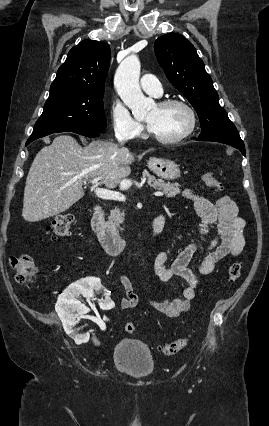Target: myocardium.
I'll list each match as a JSON object with an SVG mask.
<instances>
[{
	"mask_svg": "<svg viewBox=\"0 0 269 426\" xmlns=\"http://www.w3.org/2000/svg\"><path fill=\"white\" fill-rule=\"evenodd\" d=\"M157 105L159 107H167L172 105L182 106L183 108L187 110L189 114L190 123L188 128L183 133L173 138H163V137L157 136L148 127L147 133L150 139L161 144L172 145V144L180 143L183 140L187 139L190 135H192V133L195 131L197 127L198 119H197V114L194 108L187 101L178 99V98H168V99L161 100L160 102L157 103Z\"/></svg>",
	"mask_w": 269,
	"mask_h": 426,
	"instance_id": "myocardium-1",
	"label": "myocardium"
}]
</instances>
